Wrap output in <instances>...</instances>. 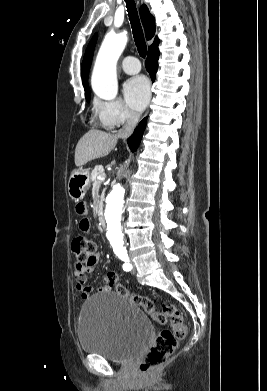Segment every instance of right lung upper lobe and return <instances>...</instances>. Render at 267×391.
<instances>
[{"mask_svg":"<svg viewBox=\"0 0 267 391\" xmlns=\"http://www.w3.org/2000/svg\"><path fill=\"white\" fill-rule=\"evenodd\" d=\"M140 16H141V20H142V23L145 28L146 38L148 40H150L155 35V29H156L155 28V19L150 14L148 8L145 5H143L140 8ZM96 41H97V34L94 35V37L92 38L91 42L88 45V48L86 50V53H85V56L83 59L82 67H81L82 81H83V85L85 87V92H90L88 84H87V80H88L89 69L91 66V61H92L93 51H94ZM158 44H159V40L157 37H155L153 44L148 49V52L157 49Z\"/></svg>","mask_w":267,"mask_h":391,"instance_id":"obj_1","label":"right lung upper lobe"}]
</instances>
